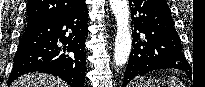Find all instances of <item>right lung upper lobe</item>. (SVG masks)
<instances>
[{
	"label": "right lung upper lobe",
	"instance_id": "obj_1",
	"mask_svg": "<svg viewBox=\"0 0 205 87\" xmlns=\"http://www.w3.org/2000/svg\"><path fill=\"white\" fill-rule=\"evenodd\" d=\"M85 3V0H28L27 23L65 14Z\"/></svg>",
	"mask_w": 205,
	"mask_h": 87
}]
</instances>
